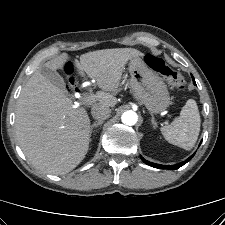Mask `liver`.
<instances>
[{"label":"liver","mask_w":225,"mask_h":225,"mask_svg":"<svg viewBox=\"0 0 225 225\" xmlns=\"http://www.w3.org/2000/svg\"><path fill=\"white\" fill-rule=\"evenodd\" d=\"M144 54L134 48H113L88 52L76 63L80 75L86 73L102 91L94 97L98 103L113 107L111 95L118 89L128 60ZM69 60L62 54L43 67L61 69ZM93 105V106H94ZM18 143L26 158L41 171L64 175L84 159L89 148L90 119L83 107L75 108L63 89L35 71L22 88L15 118Z\"/></svg>","instance_id":"obj_1"}]
</instances>
